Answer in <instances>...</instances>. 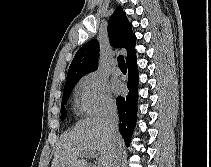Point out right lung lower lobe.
<instances>
[{
	"instance_id": "1",
	"label": "right lung lower lobe",
	"mask_w": 211,
	"mask_h": 167,
	"mask_svg": "<svg viewBox=\"0 0 211 167\" xmlns=\"http://www.w3.org/2000/svg\"><path fill=\"white\" fill-rule=\"evenodd\" d=\"M128 68V95L118 96L116 103L120 117L119 130L127 146L130 145L133 129L136 125L138 101V68L136 58L127 63Z\"/></svg>"
}]
</instances>
